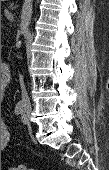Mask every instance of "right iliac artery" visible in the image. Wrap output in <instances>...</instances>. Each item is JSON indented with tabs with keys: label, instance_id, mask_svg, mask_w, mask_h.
<instances>
[{
	"label": "right iliac artery",
	"instance_id": "82829eb1",
	"mask_svg": "<svg viewBox=\"0 0 109 170\" xmlns=\"http://www.w3.org/2000/svg\"><path fill=\"white\" fill-rule=\"evenodd\" d=\"M23 107L24 105L21 102L16 104V107H15L16 115H20L23 112Z\"/></svg>",
	"mask_w": 109,
	"mask_h": 170
}]
</instances>
